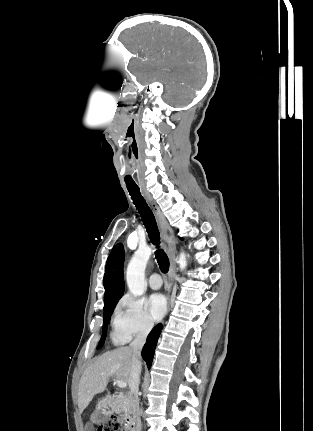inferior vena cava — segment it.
<instances>
[{
    "mask_svg": "<svg viewBox=\"0 0 313 431\" xmlns=\"http://www.w3.org/2000/svg\"><path fill=\"white\" fill-rule=\"evenodd\" d=\"M153 327L152 322H148L146 326L137 334L136 338L131 342L130 348L132 350V365L129 376L130 387V408L136 420V431H140V408L138 391L140 384L141 373V350L145 344L146 338Z\"/></svg>",
    "mask_w": 313,
    "mask_h": 431,
    "instance_id": "inferior-vena-cava-1",
    "label": "inferior vena cava"
}]
</instances>
